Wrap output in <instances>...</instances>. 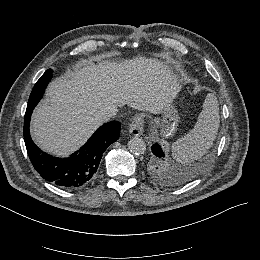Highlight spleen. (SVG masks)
Masks as SVG:
<instances>
[{"label": "spleen", "mask_w": 260, "mask_h": 260, "mask_svg": "<svg viewBox=\"0 0 260 260\" xmlns=\"http://www.w3.org/2000/svg\"><path fill=\"white\" fill-rule=\"evenodd\" d=\"M218 128L219 108L217 99L213 94H208L194 128L172 143L173 157L181 163H188L201 157L213 144ZM162 145L166 152L170 150V145L166 141H163Z\"/></svg>", "instance_id": "1"}]
</instances>
